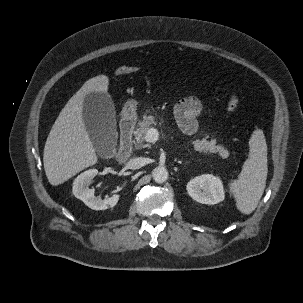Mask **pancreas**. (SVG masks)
<instances>
[{"mask_svg": "<svg viewBox=\"0 0 303 303\" xmlns=\"http://www.w3.org/2000/svg\"><path fill=\"white\" fill-rule=\"evenodd\" d=\"M157 125H160V123H158L155 116H147L146 114L143 116V119L138 123V128L135 131L137 149L149 147L148 144H144L146 132L151 126ZM192 144L194 145L193 147L196 151L210 153L218 152L223 158H226L228 156V151L222 146L216 145L215 139H212L211 141H208L206 138H203L202 140L196 139L192 142Z\"/></svg>", "mask_w": 303, "mask_h": 303, "instance_id": "pancreas-1", "label": "pancreas"}]
</instances>
